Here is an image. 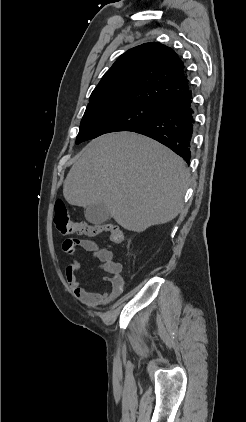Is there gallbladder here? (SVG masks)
<instances>
[{
	"mask_svg": "<svg viewBox=\"0 0 246 422\" xmlns=\"http://www.w3.org/2000/svg\"><path fill=\"white\" fill-rule=\"evenodd\" d=\"M85 218L92 224H102L111 218L104 204H94L85 209Z\"/></svg>",
	"mask_w": 246,
	"mask_h": 422,
	"instance_id": "bac80fb5",
	"label": "gallbladder"
}]
</instances>
